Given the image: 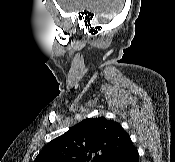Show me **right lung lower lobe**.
Here are the masks:
<instances>
[{
    "mask_svg": "<svg viewBox=\"0 0 175 162\" xmlns=\"http://www.w3.org/2000/svg\"><path fill=\"white\" fill-rule=\"evenodd\" d=\"M111 162H139L138 151L133 146L128 151L117 155Z\"/></svg>",
    "mask_w": 175,
    "mask_h": 162,
    "instance_id": "obj_1",
    "label": "right lung lower lobe"
}]
</instances>
